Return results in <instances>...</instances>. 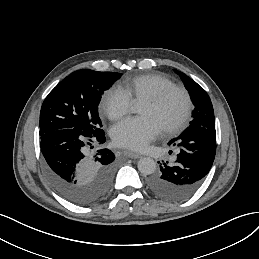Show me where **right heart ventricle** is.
Here are the masks:
<instances>
[{"label": "right heart ventricle", "instance_id": "1", "mask_svg": "<svg viewBox=\"0 0 259 259\" xmlns=\"http://www.w3.org/2000/svg\"><path fill=\"white\" fill-rule=\"evenodd\" d=\"M173 84L171 79L160 74L126 75L117 83L115 91L134 102L145 100Z\"/></svg>", "mask_w": 259, "mask_h": 259}]
</instances>
